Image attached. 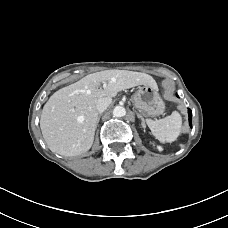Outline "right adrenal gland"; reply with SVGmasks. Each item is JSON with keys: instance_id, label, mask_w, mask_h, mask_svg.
Segmentation results:
<instances>
[{"instance_id": "1", "label": "right adrenal gland", "mask_w": 228, "mask_h": 228, "mask_svg": "<svg viewBox=\"0 0 228 228\" xmlns=\"http://www.w3.org/2000/svg\"><path fill=\"white\" fill-rule=\"evenodd\" d=\"M101 115H102V114H100V115L98 116V122H99V120H100V118H101Z\"/></svg>"}]
</instances>
